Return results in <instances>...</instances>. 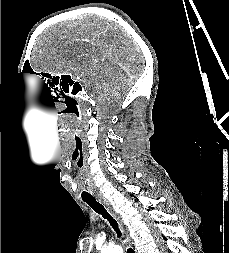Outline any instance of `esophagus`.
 <instances>
[{
  "label": "esophagus",
  "instance_id": "esophagus-1",
  "mask_svg": "<svg viewBox=\"0 0 229 253\" xmlns=\"http://www.w3.org/2000/svg\"><path fill=\"white\" fill-rule=\"evenodd\" d=\"M99 201H101L106 206L108 211L116 218V220L118 221V223L120 225V228L122 229V231L126 235V238H127V241L129 243V245H132L133 242H132V240L129 236L128 229L126 228V226L123 223V220H122L121 216L117 212H115V210L112 208V206L109 204V202H107L106 200H104L100 197H99Z\"/></svg>",
  "mask_w": 229,
  "mask_h": 253
}]
</instances>
